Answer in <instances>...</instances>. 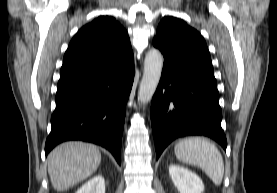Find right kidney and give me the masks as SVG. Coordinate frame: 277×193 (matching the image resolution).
I'll return each mask as SVG.
<instances>
[{"label":"right kidney","instance_id":"1","mask_svg":"<svg viewBox=\"0 0 277 193\" xmlns=\"http://www.w3.org/2000/svg\"><path fill=\"white\" fill-rule=\"evenodd\" d=\"M75 193H105V180L101 175L94 176Z\"/></svg>","mask_w":277,"mask_h":193}]
</instances>
